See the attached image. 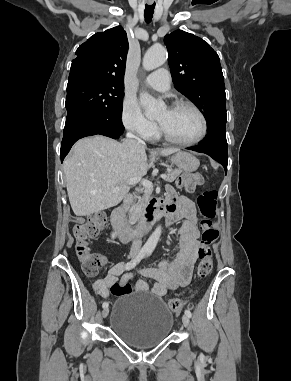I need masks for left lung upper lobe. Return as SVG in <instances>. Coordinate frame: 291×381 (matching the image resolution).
<instances>
[{"label": "left lung upper lobe", "instance_id": "obj_1", "mask_svg": "<svg viewBox=\"0 0 291 381\" xmlns=\"http://www.w3.org/2000/svg\"><path fill=\"white\" fill-rule=\"evenodd\" d=\"M175 88L207 120V136L226 135V94L218 54L203 39L177 30L164 37Z\"/></svg>", "mask_w": 291, "mask_h": 381}]
</instances>
